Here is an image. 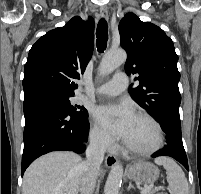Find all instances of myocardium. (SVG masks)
Wrapping results in <instances>:
<instances>
[{
  "label": "myocardium",
  "instance_id": "f54148a6",
  "mask_svg": "<svg viewBox=\"0 0 201 194\" xmlns=\"http://www.w3.org/2000/svg\"><path fill=\"white\" fill-rule=\"evenodd\" d=\"M136 117L145 119L154 126L156 133H157L156 144L149 149H138V148L132 147L131 145H129L126 142L124 143V146H125L126 150L131 154L138 155V156H150V155L156 153L157 151H159L164 145L165 135H164L163 128H162L161 124L152 115H150L148 113L139 112L136 114Z\"/></svg>",
  "mask_w": 201,
  "mask_h": 194
}]
</instances>
